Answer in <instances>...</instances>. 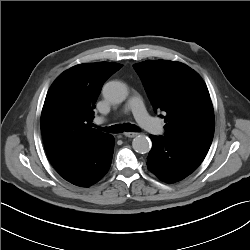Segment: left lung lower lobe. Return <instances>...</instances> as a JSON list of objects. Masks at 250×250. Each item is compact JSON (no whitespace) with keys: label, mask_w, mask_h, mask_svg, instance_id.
<instances>
[{"label":"left lung lower lobe","mask_w":250,"mask_h":250,"mask_svg":"<svg viewBox=\"0 0 250 250\" xmlns=\"http://www.w3.org/2000/svg\"><path fill=\"white\" fill-rule=\"evenodd\" d=\"M153 146L147 167L167 183L180 181L195 171L204 160L211 143L150 135Z\"/></svg>","instance_id":"obj_1"}]
</instances>
